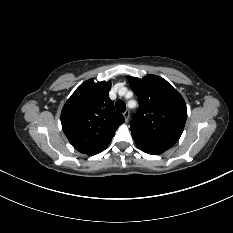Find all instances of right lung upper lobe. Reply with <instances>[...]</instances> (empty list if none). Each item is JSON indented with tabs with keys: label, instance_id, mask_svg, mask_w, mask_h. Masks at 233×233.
Listing matches in <instances>:
<instances>
[{
	"label": "right lung upper lobe",
	"instance_id": "1",
	"mask_svg": "<svg viewBox=\"0 0 233 233\" xmlns=\"http://www.w3.org/2000/svg\"><path fill=\"white\" fill-rule=\"evenodd\" d=\"M111 82L82 83L61 112L62 129L72 146L89 154L106 147L125 121L108 96Z\"/></svg>",
	"mask_w": 233,
	"mask_h": 233
}]
</instances>
